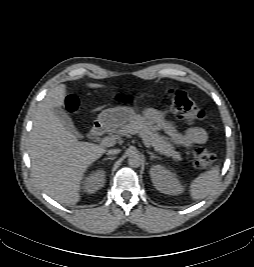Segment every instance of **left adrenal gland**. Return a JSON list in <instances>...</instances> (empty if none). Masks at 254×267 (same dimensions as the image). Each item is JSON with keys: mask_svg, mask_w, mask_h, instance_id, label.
Listing matches in <instances>:
<instances>
[{"mask_svg": "<svg viewBox=\"0 0 254 267\" xmlns=\"http://www.w3.org/2000/svg\"><path fill=\"white\" fill-rule=\"evenodd\" d=\"M147 153L150 155V160H153V159H160L159 156H156L153 152L151 151H147Z\"/></svg>", "mask_w": 254, "mask_h": 267, "instance_id": "obj_1", "label": "left adrenal gland"}]
</instances>
